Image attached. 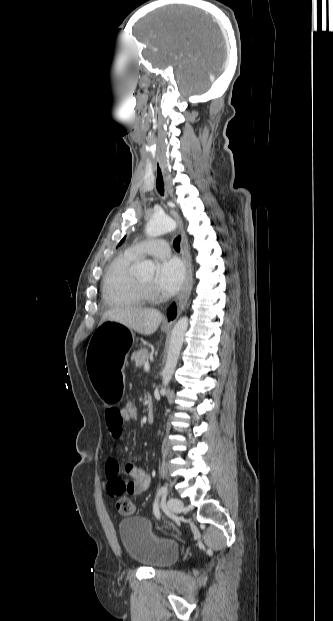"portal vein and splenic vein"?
<instances>
[{
  "label": "portal vein and splenic vein",
  "mask_w": 333,
  "mask_h": 621,
  "mask_svg": "<svg viewBox=\"0 0 333 621\" xmlns=\"http://www.w3.org/2000/svg\"><path fill=\"white\" fill-rule=\"evenodd\" d=\"M144 370H145L146 372H148V371L150 370V365H149L148 363H145V365H144Z\"/></svg>",
  "instance_id": "portal-vein-and-splenic-vein-1"
}]
</instances>
